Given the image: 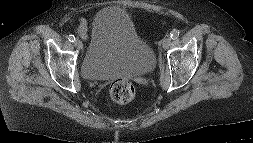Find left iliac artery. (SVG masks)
<instances>
[{"instance_id": "obj_1", "label": "left iliac artery", "mask_w": 253, "mask_h": 143, "mask_svg": "<svg viewBox=\"0 0 253 143\" xmlns=\"http://www.w3.org/2000/svg\"><path fill=\"white\" fill-rule=\"evenodd\" d=\"M179 34H180L179 30L174 29L170 33V37H171L172 40H175V39H177L179 37Z\"/></svg>"}]
</instances>
